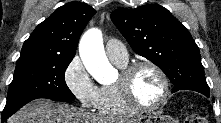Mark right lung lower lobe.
<instances>
[{"mask_svg":"<svg viewBox=\"0 0 221 123\" xmlns=\"http://www.w3.org/2000/svg\"><path fill=\"white\" fill-rule=\"evenodd\" d=\"M8 118V116L2 117V120H6Z\"/></svg>","mask_w":221,"mask_h":123,"instance_id":"1","label":"right lung lower lobe"}]
</instances>
